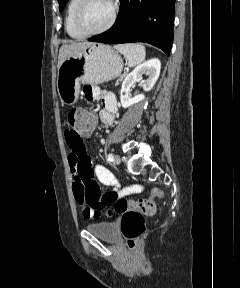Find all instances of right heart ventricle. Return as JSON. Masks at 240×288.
<instances>
[{"label":"right heart ventricle","mask_w":240,"mask_h":288,"mask_svg":"<svg viewBox=\"0 0 240 288\" xmlns=\"http://www.w3.org/2000/svg\"><path fill=\"white\" fill-rule=\"evenodd\" d=\"M80 0H69L66 15H65V29L67 34L73 39H83L85 36L82 35L74 26V14Z\"/></svg>","instance_id":"1"}]
</instances>
